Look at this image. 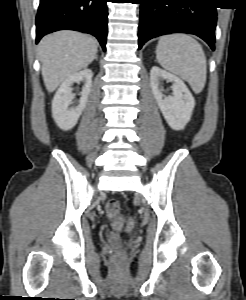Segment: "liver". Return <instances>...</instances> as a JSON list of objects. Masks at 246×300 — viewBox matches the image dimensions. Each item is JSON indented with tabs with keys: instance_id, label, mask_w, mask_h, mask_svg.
<instances>
[{
	"instance_id": "liver-1",
	"label": "liver",
	"mask_w": 246,
	"mask_h": 300,
	"mask_svg": "<svg viewBox=\"0 0 246 300\" xmlns=\"http://www.w3.org/2000/svg\"><path fill=\"white\" fill-rule=\"evenodd\" d=\"M95 39L75 31H58L45 36L38 57L46 89L53 92L70 75L86 68L96 57Z\"/></svg>"
}]
</instances>
